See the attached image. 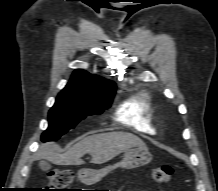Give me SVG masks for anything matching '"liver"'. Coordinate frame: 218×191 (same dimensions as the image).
<instances>
[{
	"mask_svg": "<svg viewBox=\"0 0 218 191\" xmlns=\"http://www.w3.org/2000/svg\"><path fill=\"white\" fill-rule=\"evenodd\" d=\"M130 148L147 150L146 144L131 133L108 132L83 138L64 153L54 143L44 144L36 158L46 159L56 165H82L84 161L81 158L88 153L92 157L91 163L103 164Z\"/></svg>",
	"mask_w": 218,
	"mask_h": 191,
	"instance_id": "1",
	"label": "liver"
}]
</instances>
